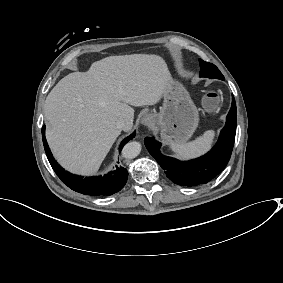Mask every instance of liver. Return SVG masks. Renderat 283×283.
<instances>
[{
	"label": "liver",
	"mask_w": 283,
	"mask_h": 283,
	"mask_svg": "<svg viewBox=\"0 0 283 283\" xmlns=\"http://www.w3.org/2000/svg\"><path fill=\"white\" fill-rule=\"evenodd\" d=\"M171 79L164 59L154 54L106 57L62 78L44 106L46 138L57 161L71 173L96 174L121 133L117 121L132 127L130 105L156 104Z\"/></svg>",
	"instance_id": "1"
}]
</instances>
